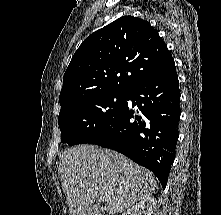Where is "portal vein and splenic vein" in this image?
I'll use <instances>...</instances> for the list:
<instances>
[{
    "label": "portal vein and splenic vein",
    "instance_id": "1",
    "mask_svg": "<svg viewBox=\"0 0 221 215\" xmlns=\"http://www.w3.org/2000/svg\"><path fill=\"white\" fill-rule=\"evenodd\" d=\"M99 199H100V200H103V199H104V197H103V196H99Z\"/></svg>",
    "mask_w": 221,
    "mask_h": 215
}]
</instances>
